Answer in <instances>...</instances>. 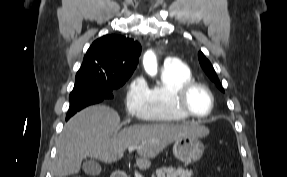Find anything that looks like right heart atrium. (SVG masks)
I'll return each mask as SVG.
<instances>
[{
  "mask_svg": "<svg viewBox=\"0 0 287 177\" xmlns=\"http://www.w3.org/2000/svg\"><path fill=\"white\" fill-rule=\"evenodd\" d=\"M148 86L142 77L133 78L126 89L124 104L127 111L139 119L145 118Z\"/></svg>",
  "mask_w": 287,
  "mask_h": 177,
  "instance_id": "d8ad5b80",
  "label": "right heart atrium"
}]
</instances>
